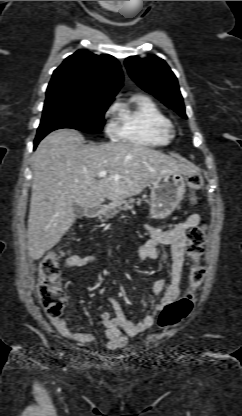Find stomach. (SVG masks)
I'll return each instance as SVG.
<instances>
[{"mask_svg":"<svg viewBox=\"0 0 242 416\" xmlns=\"http://www.w3.org/2000/svg\"><path fill=\"white\" fill-rule=\"evenodd\" d=\"M186 181L184 174L176 172L163 174L150 184L152 218L164 219L178 207L186 192Z\"/></svg>","mask_w":242,"mask_h":416,"instance_id":"0dacf381","label":"stomach"}]
</instances>
